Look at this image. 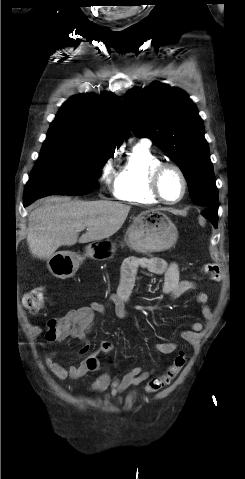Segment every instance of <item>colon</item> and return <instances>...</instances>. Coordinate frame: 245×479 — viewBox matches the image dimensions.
Listing matches in <instances>:
<instances>
[{
    "label": "colon",
    "mask_w": 245,
    "mask_h": 479,
    "mask_svg": "<svg viewBox=\"0 0 245 479\" xmlns=\"http://www.w3.org/2000/svg\"><path fill=\"white\" fill-rule=\"evenodd\" d=\"M205 273L212 279L219 275V268L216 264L206 263L204 265ZM46 294L42 288H35L27 292L23 298V307L30 313H36L42 309L46 302ZM68 326L61 319H53L51 324H47L45 337L47 340L63 339L67 336ZM186 363L185 354L180 352L174 357L166 371L156 377L151 378L145 385L144 390L148 394H155L170 385L171 381L180 373Z\"/></svg>",
    "instance_id": "1"
}]
</instances>
